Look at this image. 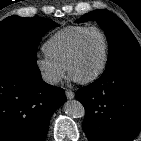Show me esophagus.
Returning a JSON list of instances; mask_svg holds the SVG:
<instances>
[{
	"label": "esophagus",
	"mask_w": 141,
	"mask_h": 141,
	"mask_svg": "<svg viewBox=\"0 0 141 141\" xmlns=\"http://www.w3.org/2000/svg\"><path fill=\"white\" fill-rule=\"evenodd\" d=\"M65 94H66V97L68 98V99H73L74 98V92L73 91H71V90H66L65 91Z\"/></svg>",
	"instance_id": "obj_1"
}]
</instances>
